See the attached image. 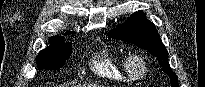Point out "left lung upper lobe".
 <instances>
[{
  "instance_id": "obj_1",
  "label": "left lung upper lobe",
  "mask_w": 205,
  "mask_h": 87,
  "mask_svg": "<svg viewBox=\"0 0 205 87\" xmlns=\"http://www.w3.org/2000/svg\"><path fill=\"white\" fill-rule=\"evenodd\" d=\"M106 33L110 38L129 42L149 50L157 57L159 64L170 77L171 86L178 87L177 76L168 63L167 50L155 25L146 19L142 11L135 12L125 23Z\"/></svg>"
}]
</instances>
